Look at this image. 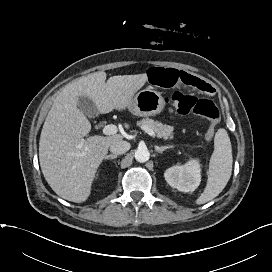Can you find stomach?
Here are the masks:
<instances>
[{"mask_svg":"<svg viewBox=\"0 0 272 272\" xmlns=\"http://www.w3.org/2000/svg\"><path fill=\"white\" fill-rule=\"evenodd\" d=\"M165 107V100L161 93L146 88L139 91L128 107L129 111L137 116H154L159 114Z\"/></svg>","mask_w":272,"mask_h":272,"instance_id":"1","label":"stomach"}]
</instances>
